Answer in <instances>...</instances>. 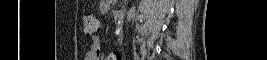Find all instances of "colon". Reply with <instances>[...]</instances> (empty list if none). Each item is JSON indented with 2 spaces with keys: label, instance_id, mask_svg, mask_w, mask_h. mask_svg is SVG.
Wrapping results in <instances>:
<instances>
[{
  "label": "colon",
  "instance_id": "colon-1",
  "mask_svg": "<svg viewBox=\"0 0 267 60\" xmlns=\"http://www.w3.org/2000/svg\"><path fill=\"white\" fill-rule=\"evenodd\" d=\"M98 29L97 19L90 14L85 15L84 17V30L88 35L95 34Z\"/></svg>",
  "mask_w": 267,
  "mask_h": 60
}]
</instances>
